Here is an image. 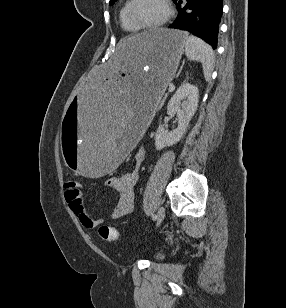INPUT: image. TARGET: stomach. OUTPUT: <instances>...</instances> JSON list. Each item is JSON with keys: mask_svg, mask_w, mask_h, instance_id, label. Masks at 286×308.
Returning <instances> with one entry per match:
<instances>
[{"mask_svg": "<svg viewBox=\"0 0 286 308\" xmlns=\"http://www.w3.org/2000/svg\"><path fill=\"white\" fill-rule=\"evenodd\" d=\"M187 34L157 29L123 36L106 65L92 69L63 112L61 153L76 177H111L138 144L172 81Z\"/></svg>", "mask_w": 286, "mask_h": 308, "instance_id": "0dacf381", "label": "stomach"}]
</instances>
